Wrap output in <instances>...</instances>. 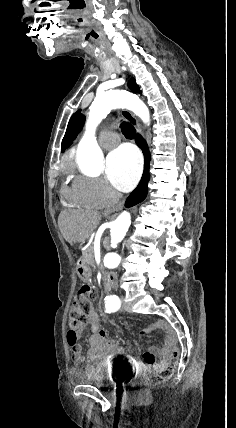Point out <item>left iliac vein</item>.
Listing matches in <instances>:
<instances>
[{
  "label": "left iliac vein",
  "instance_id": "4c4485c4",
  "mask_svg": "<svg viewBox=\"0 0 236 428\" xmlns=\"http://www.w3.org/2000/svg\"><path fill=\"white\" fill-rule=\"evenodd\" d=\"M121 301H123L124 300V296H121V299H120Z\"/></svg>",
  "mask_w": 236,
  "mask_h": 428
}]
</instances>
